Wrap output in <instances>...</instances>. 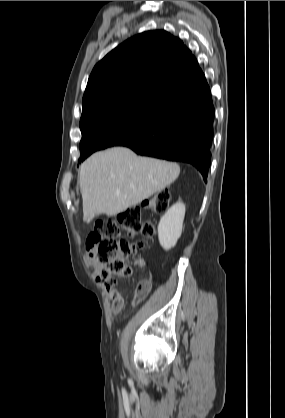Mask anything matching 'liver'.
<instances>
[{
    "label": "liver",
    "mask_w": 285,
    "mask_h": 418,
    "mask_svg": "<svg viewBox=\"0 0 285 418\" xmlns=\"http://www.w3.org/2000/svg\"><path fill=\"white\" fill-rule=\"evenodd\" d=\"M179 173L176 163L139 157L125 147L97 152L80 166L83 219L117 215L170 185Z\"/></svg>",
    "instance_id": "1"
}]
</instances>
